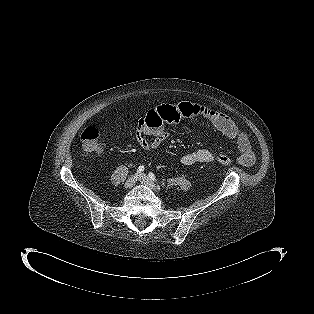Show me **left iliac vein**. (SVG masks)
Segmentation results:
<instances>
[{
  "label": "left iliac vein",
  "mask_w": 314,
  "mask_h": 314,
  "mask_svg": "<svg viewBox=\"0 0 314 314\" xmlns=\"http://www.w3.org/2000/svg\"><path fill=\"white\" fill-rule=\"evenodd\" d=\"M139 181L153 191H158L157 186L144 173L139 175Z\"/></svg>",
  "instance_id": "4c4485c4"
}]
</instances>
